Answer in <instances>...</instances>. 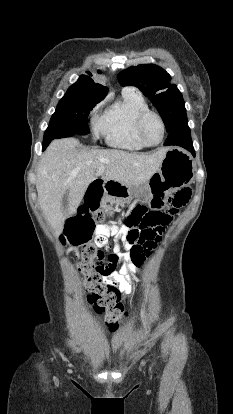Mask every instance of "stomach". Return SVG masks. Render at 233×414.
Here are the masks:
<instances>
[{"label":"stomach","instance_id":"stomach-1","mask_svg":"<svg viewBox=\"0 0 233 414\" xmlns=\"http://www.w3.org/2000/svg\"><path fill=\"white\" fill-rule=\"evenodd\" d=\"M193 173L192 157L181 149L170 148L158 172H153L147 180V185L132 187L118 183L113 194L126 200L145 196L150 206H161L174 191L191 182Z\"/></svg>","mask_w":233,"mask_h":414}]
</instances>
